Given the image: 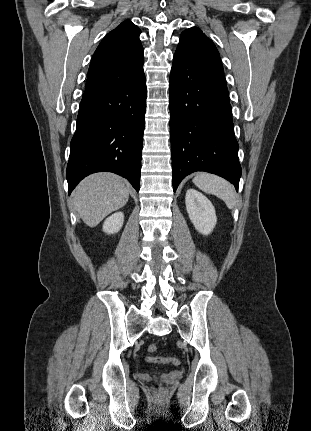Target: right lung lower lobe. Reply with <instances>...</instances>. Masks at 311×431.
I'll return each mask as SVG.
<instances>
[{
  "instance_id": "right-lung-lower-lobe-1",
  "label": "right lung lower lobe",
  "mask_w": 311,
  "mask_h": 431,
  "mask_svg": "<svg viewBox=\"0 0 311 431\" xmlns=\"http://www.w3.org/2000/svg\"><path fill=\"white\" fill-rule=\"evenodd\" d=\"M146 93L143 66L127 79L85 89L70 143L69 194L99 171L121 175L139 191Z\"/></svg>"
}]
</instances>
